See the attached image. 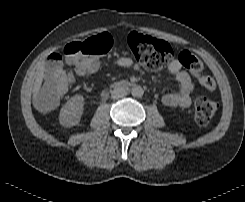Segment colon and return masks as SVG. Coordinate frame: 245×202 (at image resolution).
Segmentation results:
<instances>
[{
    "label": "colon",
    "mask_w": 245,
    "mask_h": 202,
    "mask_svg": "<svg viewBox=\"0 0 245 202\" xmlns=\"http://www.w3.org/2000/svg\"><path fill=\"white\" fill-rule=\"evenodd\" d=\"M113 44L108 33L92 36L84 42H70L63 47V55L52 54L48 59L45 72L42 99L49 107L54 106L69 90L72 75L64 63L71 65L76 71L83 72L88 67L86 56L89 54H105ZM130 54L137 64L151 70L161 71L173 60H179L182 66L198 77L203 88L212 92L216 84L212 77L203 75V63L187 51H176L168 42L150 36L131 32L127 36ZM218 110V104L208 98H199L195 104V119L207 124Z\"/></svg>",
    "instance_id": "5ec220e1"
}]
</instances>
